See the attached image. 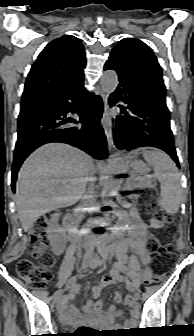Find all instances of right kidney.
<instances>
[{"label": "right kidney", "instance_id": "1", "mask_svg": "<svg viewBox=\"0 0 194 336\" xmlns=\"http://www.w3.org/2000/svg\"><path fill=\"white\" fill-rule=\"evenodd\" d=\"M59 215L57 213L51 216L50 222L48 224L47 229V238L50 241V245L52 246V250L54 253L58 252L59 249V237L61 228L59 226Z\"/></svg>", "mask_w": 194, "mask_h": 336}]
</instances>
